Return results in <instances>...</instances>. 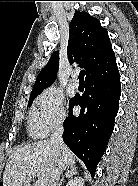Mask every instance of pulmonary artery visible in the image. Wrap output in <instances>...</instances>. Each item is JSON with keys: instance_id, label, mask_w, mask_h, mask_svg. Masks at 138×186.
Segmentation results:
<instances>
[{"instance_id": "e3ab8cb5", "label": "pulmonary artery", "mask_w": 138, "mask_h": 186, "mask_svg": "<svg viewBox=\"0 0 138 186\" xmlns=\"http://www.w3.org/2000/svg\"><path fill=\"white\" fill-rule=\"evenodd\" d=\"M71 85L75 89H77L79 87V80H78L76 74H74L72 79H71Z\"/></svg>"}]
</instances>
